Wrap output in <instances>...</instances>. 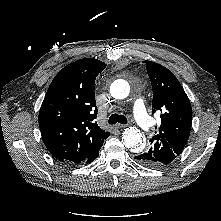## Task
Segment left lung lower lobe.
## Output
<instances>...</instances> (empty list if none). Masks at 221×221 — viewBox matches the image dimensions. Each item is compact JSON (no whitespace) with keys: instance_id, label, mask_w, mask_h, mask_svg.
<instances>
[{"instance_id":"0a47b994","label":"left lung lower lobe","mask_w":221,"mask_h":221,"mask_svg":"<svg viewBox=\"0 0 221 221\" xmlns=\"http://www.w3.org/2000/svg\"><path fill=\"white\" fill-rule=\"evenodd\" d=\"M134 159H136L138 162H140L143 165L152 166L150 164H147L146 160H144V158L142 156H140V155L135 156ZM152 167H154V166H152Z\"/></svg>"}]
</instances>
